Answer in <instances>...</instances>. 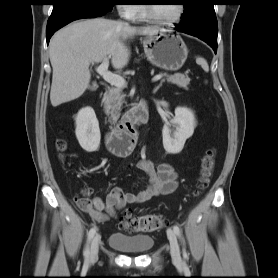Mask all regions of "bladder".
<instances>
[{"mask_svg":"<svg viewBox=\"0 0 278 278\" xmlns=\"http://www.w3.org/2000/svg\"><path fill=\"white\" fill-rule=\"evenodd\" d=\"M108 244L120 251L141 253L153 247L154 239L146 234L127 235L121 232H113L108 238Z\"/></svg>","mask_w":278,"mask_h":278,"instance_id":"1","label":"bladder"}]
</instances>
